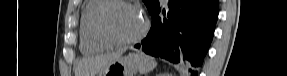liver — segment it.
Listing matches in <instances>:
<instances>
[{"label":"liver","mask_w":287,"mask_h":76,"mask_svg":"<svg viewBox=\"0 0 287 76\" xmlns=\"http://www.w3.org/2000/svg\"><path fill=\"white\" fill-rule=\"evenodd\" d=\"M121 57V53L101 55L91 58H83L76 68V76H94L101 74L108 65Z\"/></svg>","instance_id":"liver-1"}]
</instances>
